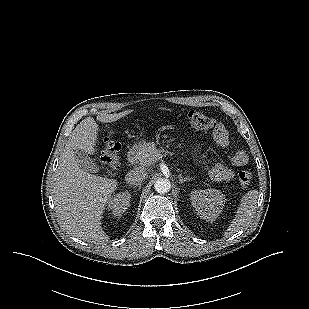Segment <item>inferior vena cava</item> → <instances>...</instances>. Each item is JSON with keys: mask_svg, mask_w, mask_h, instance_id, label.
Returning a JSON list of instances; mask_svg holds the SVG:
<instances>
[{"mask_svg": "<svg viewBox=\"0 0 309 309\" xmlns=\"http://www.w3.org/2000/svg\"><path fill=\"white\" fill-rule=\"evenodd\" d=\"M147 177V172L141 167H136L125 176V180L130 185H141Z\"/></svg>", "mask_w": 309, "mask_h": 309, "instance_id": "obj_1", "label": "inferior vena cava"}]
</instances>
